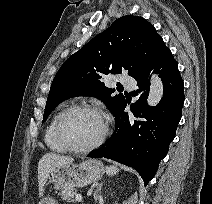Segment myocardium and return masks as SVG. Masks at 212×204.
I'll return each instance as SVG.
<instances>
[{"mask_svg": "<svg viewBox=\"0 0 212 204\" xmlns=\"http://www.w3.org/2000/svg\"><path fill=\"white\" fill-rule=\"evenodd\" d=\"M76 111H87V112H92L95 113L97 115L100 116V118L102 119V131L101 134L99 135V137L90 145L85 146V147H75L73 145H71L65 135H64V131H63V124L65 119L67 118L68 115H70L73 112ZM55 133H56V137L59 141V143L64 147V149L66 151L69 152H73V153H89L95 149H97L98 147H100L103 142L105 141L108 133H109V118L107 116V114L99 107L97 106H93V105H88V104H78V105H73L70 106L68 108H66L65 110H63L56 122V126H55Z\"/></svg>", "mask_w": 212, "mask_h": 204, "instance_id": "1", "label": "myocardium"}]
</instances>
